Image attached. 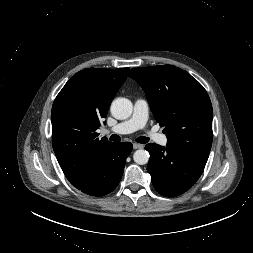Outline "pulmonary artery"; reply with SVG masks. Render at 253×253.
I'll return each instance as SVG.
<instances>
[{
	"mask_svg": "<svg viewBox=\"0 0 253 253\" xmlns=\"http://www.w3.org/2000/svg\"><path fill=\"white\" fill-rule=\"evenodd\" d=\"M148 112L149 106L148 102L145 99H136L134 102L133 113L132 116L123 121L114 127L106 130V132H111L115 134H129L134 131L143 129L146 126L148 120ZM148 137L155 141L156 143L166 146L167 145V138L163 134L149 131Z\"/></svg>",
	"mask_w": 253,
	"mask_h": 253,
	"instance_id": "e3ab8cb5",
	"label": "pulmonary artery"
}]
</instances>
